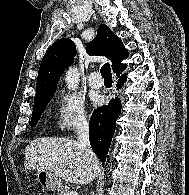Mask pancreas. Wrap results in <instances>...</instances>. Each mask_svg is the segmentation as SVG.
I'll use <instances>...</instances> for the list:
<instances>
[{"instance_id": "cf45deb5", "label": "pancreas", "mask_w": 189, "mask_h": 195, "mask_svg": "<svg viewBox=\"0 0 189 195\" xmlns=\"http://www.w3.org/2000/svg\"><path fill=\"white\" fill-rule=\"evenodd\" d=\"M69 192H70V189L67 186H61L58 189V195H67Z\"/></svg>"}]
</instances>
